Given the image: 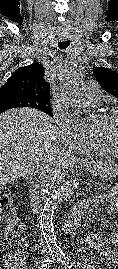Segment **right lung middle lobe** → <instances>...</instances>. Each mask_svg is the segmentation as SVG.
I'll return each instance as SVG.
<instances>
[{"instance_id": "right-lung-middle-lobe-1", "label": "right lung middle lobe", "mask_w": 118, "mask_h": 269, "mask_svg": "<svg viewBox=\"0 0 118 269\" xmlns=\"http://www.w3.org/2000/svg\"><path fill=\"white\" fill-rule=\"evenodd\" d=\"M16 107H31L41 110L53 117L50 104L37 102L21 94H5L0 97V113Z\"/></svg>"}]
</instances>
